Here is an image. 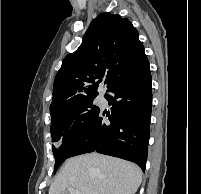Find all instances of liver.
Segmentation results:
<instances>
[{
	"mask_svg": "<svg viewBox=\"0 0 201 194\" xmlns=\"http://www.w3.org/2000/svg\"><path fill=\"white\" fill-rule=\"evenodd\" d=\"M141 182L134 163L94 152L68 159L49 194H66L69 187L81 194H135Z\"/></svg>",
	"mask_w": 201,
	"mask_h": 194,
	"instance_id": "6515ba94",
	"label": "liver"
}]
</instances>
